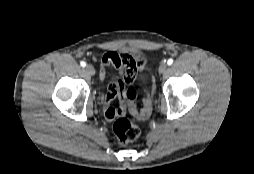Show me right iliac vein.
<instances>
[{
	"instance_id": "63e3f726",
	"label": "right iliac vein",
	"mask_w": 254,
	"mask_h": 174,
	"mask_svg": "<svg viewBox=\"0 0 254 174\" xmlns=\"http://www.w3.org/2000/svg\"><path fill=\"white\" fill-rule=\"evenodd\" d=\"M85 71L91 76L95 74V69L92 65L85 66Z\"/></svg>"
}]
</instances>
